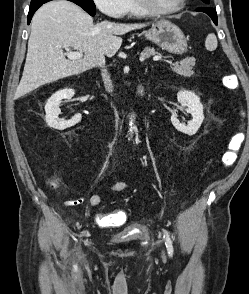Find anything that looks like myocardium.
Here are the masks:
<instances>
[{
    "mask_svg": "<svg viewBox=\"0 0 249 294\" xmlns=\"http://www.w3.org/2000/svg\"><path fill=\"white\" fill-rule=\"evenodd\" d=\"M139 9L148 16L152 17H160L169 15L179 11L187 2V0H179V2L172 8L165 9V10H157L150 4L149 0H135Z\"/></svg>",
    "mask_w": 249,
    "mask_h": 294,
    "instance_id": "f54148a6",
    "label": "myocardium"
}]
</instances>
